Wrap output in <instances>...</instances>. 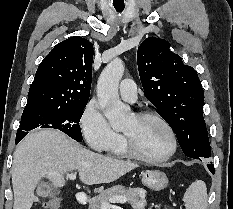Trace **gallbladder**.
<instances>
[{"mask_svg":"<svg viewBox=\"0 0 233 209\" xmlns=\"http://www.w3.org/2000/svg\"><path fill=\"white\" fill-rule=\"evenodd\" d=\"M60 191L57 188H54L46 183H39L37 187V194L40 197H52L58 195Z\"/></svg>","mask_w":233,"mask_h":209,"instance_id":"bac80fb5","label":"gallbladder"}]
</instances>
